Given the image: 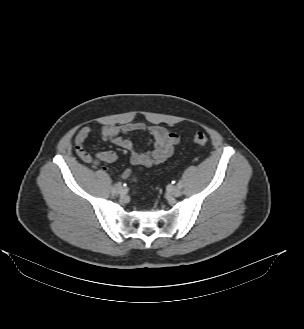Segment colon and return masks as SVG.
<instances>
[{"label":"colon","mask_w":304,"mask_h":329,"mask_svg":"<svg viewBox=\"0 0 304 329\" xmlns=\"http://www.w3.org/2000/svg\"><path fill=\"white\" fill-rule=\"evenodd\" d=\"M193 142L198 146H204L208 142V137L204 132L199 131L193 136Z\"/></svg>","instance_id":"5ec220e1"}]
</instances>
